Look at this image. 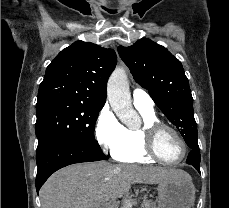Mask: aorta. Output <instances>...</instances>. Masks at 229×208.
I'll use <instances>...</instances> for the list:
<instances>
[{
  "instance_id": "1",
  "label": "aorta",
  "mask_w": 229,
  "mask_h": 208,
  "mask_svg": "<svg viewBox=\"0 0 229 208\" xmlns=\"http://www.w3.org/2000/svg\"><path fill=\"white\" fill-rule=\"evenodd\" d=\"M109 103L117 117L127 126L134 128L140 118L131 102L128 78L123 68L118 67L111 74L107 85ZM122 208H132L130 200H125Z\"/></svg>"
}]
</instances>
